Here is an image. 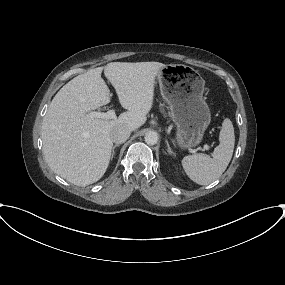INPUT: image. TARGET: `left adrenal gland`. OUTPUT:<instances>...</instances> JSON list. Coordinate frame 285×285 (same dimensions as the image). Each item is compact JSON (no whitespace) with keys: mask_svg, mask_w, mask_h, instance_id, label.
Here are the masks:
<instances>
[{"mask_svg":"<svg viewBox=\"0 0 285 285\" xmlns=\"http://www.w3.org/2000/svg\"><path fill=\"white\" fill-rule=\"evenodd\" d=\"M166 145H167V151H168V153H169L170 155H173V151H172V149L170 148V145H169V143H168L167 140H166Z\"/></svg>","mask_w":285,"mask_h":285,"instance_id":"1","label":"left adrenal gland"}]
</instances>
